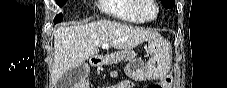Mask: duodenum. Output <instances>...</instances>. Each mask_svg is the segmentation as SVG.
I'll return each mask as SVG.
<instances>
[{"mask_svg": "<svg viewBox=\"0 0 227 88\" xmlns=\"http://www.w3.org/2000/svg\"><path fill=\"white\" fill-rule=\"evenodd\" d=\"M90 65H91V66H96V65H97V63H96V61H95V60H92V61L90 62Z\"/></svg>", "mask_w": 227, "mask_h": 88, "instance_id": "duodenum-1", "label": "duodenum"}]
</instances>
